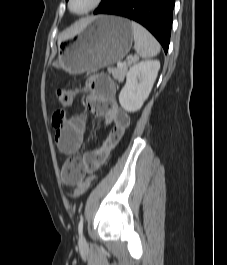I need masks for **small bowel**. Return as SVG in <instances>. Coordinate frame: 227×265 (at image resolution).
I'll list each match as a JSON object with an SVG mask.
<instances>
[{
  "label": "small bowel",
  "instance_id": "1",
  "mask_svg": "<svg viewBox=\"0 0 227 265\" xmlns=\"http://www.w3.org/2000/svg\"><path fill=\"white\" fill-rule=\"evenodd\" d=\"M87 90L86 104L89 111L95 116L104 118L110 130L99 148L87 151L78 158V164L72 169L70 180L63 178L68 185L81 183L85 174L94 172L105 164L131 121L130 116L118 106L115 100V85L108 75L94 72L87 82ZM85 127L84 115H75L58 127L55 142L59 151L65 155L78 153L83 143Z\"/></svg>",
  "mask_w": 227,
  "mask_h": 265
}]
</instances>
